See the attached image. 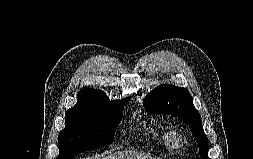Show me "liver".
Returning <instances> with one entry per match:
<instances>
[{
    "label": "liver",
    "instance_id": "1",
    "mask_svg": "<svg viewBox=\"0 0 253 159\" xmlns=\"http://www.w3.org/2000/svg\"><path fill=\"white\" fill-rule=\"evenodd\" d=\"M86 159H102L99 157H93V158H86ZM104 159H152L148 155H144L142 153H138L135 151H122V152H117L114 154H111Z\"/></svg>",
    "mask_w": 253,
    "mask_h": 159
}]
</instances>
